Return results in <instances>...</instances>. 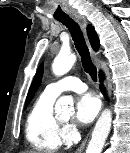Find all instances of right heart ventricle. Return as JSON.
I'll return each mask as SVG.
<instances>
[{
  "instance_id": "obj_1",
  "label": "right heart ventricle",
  "mask_w": 130,
  "mask_h": 153,
  "mask_svg": "<svg viewBox=\"0 0 130 153\" xmlns=\"http://www.w3.org/2000/svg\"><path fill=\"white\" fill-rule=\"evenodd\" d=\"M56 96L43 91L25 123V135L30 146L39 152H55L62 142L63 126L53 112Z\"/></svg>"
}]
</instances>
